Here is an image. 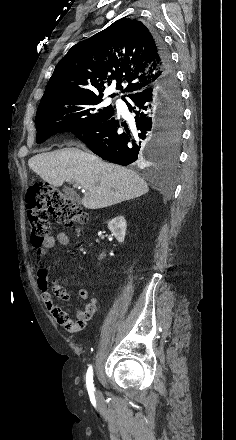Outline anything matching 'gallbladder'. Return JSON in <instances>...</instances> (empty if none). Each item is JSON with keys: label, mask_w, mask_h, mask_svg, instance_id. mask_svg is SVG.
I'll list each match as a JSON object with an SVG mask.
<instances>
[{"label": "gallbladder", "mask_w": 236, "mask_h": 440, "mask_svg": "<svg viewBox=\"0 0 236 440\" xmlns=\"http://www.w3.org/2000/svg\"><path fill=\"white\" fill-rule=\"evenodd\" d=\"M63 192H64L65 195H66L67 197H69L71 200L76 201V202H79V198H78V196L73 192L72 189H70V188H68V187H65V188L63 189Z\"/></svg>", "instance_id": "bac80fb5"}]
</instances>
